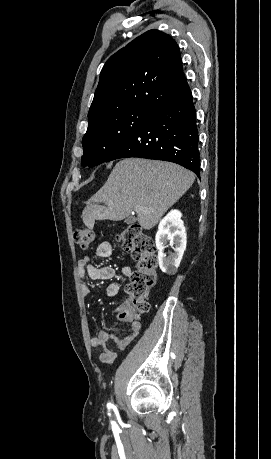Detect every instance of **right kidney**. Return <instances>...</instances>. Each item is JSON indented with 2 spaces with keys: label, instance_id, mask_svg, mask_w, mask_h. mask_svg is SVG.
<instances>
[{
  "label": "right kidney",
  "instance_id": "1",
  "mask_svg": "<svg viewBox=\"0 0 271 459\" xmlns=\"http://www.w3.org/2000/svg\"><path fill=\"white\" fill-rule=\"evenodd\" d=\"M181 218L182 214L179 210H171L161 220L155 237L159 267L164 273H171V275L176 273L186 247V229ZM168 245H175L174 253L169 251V255H166L164 249Z\"/></svg>",
  "mask_w": 271,
  "mask_h": 459
}]
</instances>
